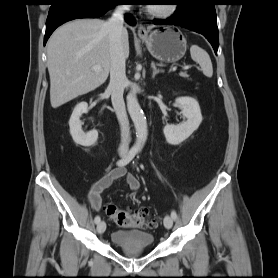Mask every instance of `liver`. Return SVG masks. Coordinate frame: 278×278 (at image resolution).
Wrapping results in <instances>:
<instances>
[{
    "label": "liver",
    "instance_id": "obj_1",
    "mask_svg": "<svg viewBox=\"0 0 278 278\" xmlns=\"http://www.w3.org/2000/svg\"><path fill=\"white\" fill-rule=\"evenodd\" d=\"M125 59L129 56L128 32H122ZM98 65L101 71L92 69ZM110 40L106 22L78 19L59 27L47 43L50 102L53 108L102 85L110 71Z\"/></svg>",
    "mask_w": 278,
    "mask_h": 278
}]
</instances>
